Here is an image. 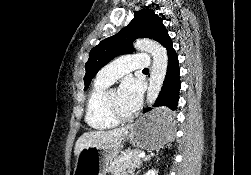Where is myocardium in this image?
<instances>
[{"label": "myocardium", "mask_w": 251, "mask_h": 175, "mask_svg": "<svg viewBox=\"0 0 251 175\" xmlns=\"http://www.w3.org/2000/svg\"><path fill=\"white\" fill-rule=\"evenodd\" d=\"M110 91L111 90H106L105 95H104L103 104H104L105 111L107 112L109 116L113 117L116 120L127 119L128 116L126 114L117 113L113 111V109L111 108L110 103H109V98H108Z\"/></svg>", "instance_id": "obj_1"}]
</instances>
